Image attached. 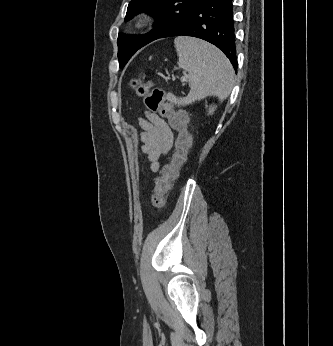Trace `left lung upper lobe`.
<instances>
[{"label": "left lung upper lobe", "mask_w": 333, "mask_h": 346, "mask_svg": "<svg viewBox=\"0 0 333 346\" xmlns=\"http://www.w3.org/2000/svg\"><path fill=\"white\" fill-rule=\"evenodd\" d=\"M202 0H131L125 21L136 13L146 11L156 19L154 28L144 36L118 35V60L122 68L141 47L160 38L168 29L187 16Z\"/></svg>", "instance_id": "5c2ea615"}]
</instances>
